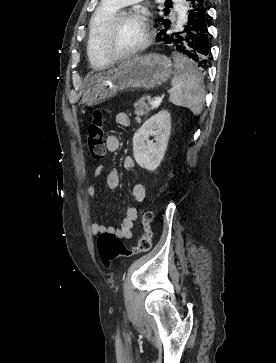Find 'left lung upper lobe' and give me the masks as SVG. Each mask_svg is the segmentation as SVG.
Wrapping results in <instances>:
<instances>
[{
    "label": "left lung upper lobe",
    "instance_id": "obj_1",
    "mask_svg": "<svg viewBox=\"0 0 276 363\" xmlns=\"http://www.w3.org/2000/svg\"><path fill=\"white\" fill-rule=\"evenodd\" d=\"M166 3L170 4V0H168ZM159 21H160L159 29H161L163 26H167L172 23L170 20H168L166 18H160Z\"/></svg>",
    "mask_w": 276,
    "mask_h": 363
}]
</instances>
